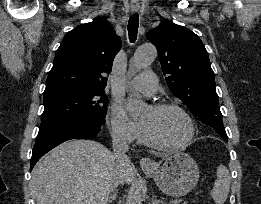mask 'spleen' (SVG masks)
I'll use <instances>...</instances> for the list:
<instances>
[{"label":"spleen","mask_w":261,"mask_h":204,"mask_svg":"<svg viewBox=\"0 0 261 204\" xmlns=\"http://www.w3.org/2000/svg\"><path fill=\"white\" fill-rule=\"evenodd\" d=\"M229 170L225 165H219L217 168V179L214 182L210 195L216 204H224L230 190Z\"/></svg>","instance_id":"obj_1"}]
</instances>
